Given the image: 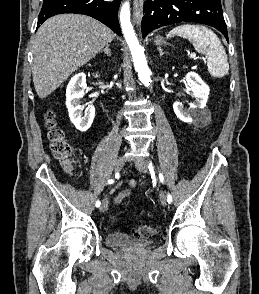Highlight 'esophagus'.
<instances>
[{"label": "esophagus", "instance_id": "esophagus-1", "mask_svg": "<svg viewBox=\"0 0 259 294\" xmlns=\"http://www.w3.org/2000/svg\"><path fill=\"white\" fill-rule=\"evenodd\" d=\"M143 2L144 0H134L133 1V9H134V22L136 24H140L142 19V10H143Z\"/></svg>", "mask_w": 259, "mask_h": 294}]
</instances>
